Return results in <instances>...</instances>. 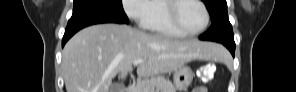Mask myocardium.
<instances>
[{"instance_id":"obj_1","label":"myocardium","mask_w":296,"mask_h":92,"mask_svg":"<svg viewBox=\"0 0 296 92\" xmlns=\"http://www.w3.org/2000/svg\"><path fill=\"white\" fill-rule=\"evenodd\" d=\"M185 1H194V2L198 3L202 7L204 14H205V21H204L203 26L200 29L193 31V32L184 30L181 27L179 20H178V16H177L178 8ZM167 18H168V22L170 23V25L178 33H180L183 36L192 37V36H196V35L202 33L208 27V24L210 21V14H209V11L203 1H200V0H172V1L168 2Z\"/></svg>"}]
</instances>
